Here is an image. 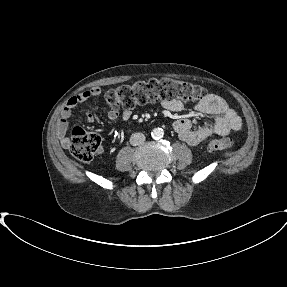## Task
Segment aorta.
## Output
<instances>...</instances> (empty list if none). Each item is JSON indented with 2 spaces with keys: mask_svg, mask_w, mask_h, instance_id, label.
I'll return each mask as SVG.
<instances>
[{
  "mask_svg": "<svg viewBox=\"0 0 287 287\" xmlns=\"http://www.w3.org/2000/svg\"><path fill=\"white\" fill-rule=\"evenodd\" d=\"M151 136L153 139H161L164 136V130L162 128H155L151 132Z\"/></svg>",
  "mask_w": 287,
  "mask_h": 287,
  "instance_id": "obj_1",
  "label": "aorta"
}]
</instances>
